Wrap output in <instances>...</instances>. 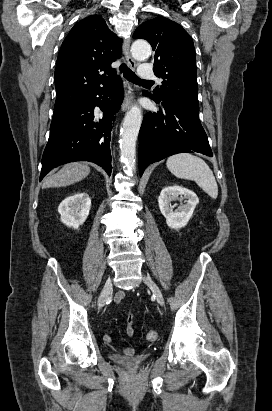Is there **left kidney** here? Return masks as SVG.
<instances>
[{
	"label": "left kidney",
	"instance_id": "1",
	"mask_svg": "<svg viewBox=\"0 0 272 411\" xmlns=\"http://www.w3.org/2000/svg\"><path fill=\"white\" fill-rule=\"evenodd\" d=\"M179 196L186 199V204L173 210L171 201L178 199ZM198 203L199 199L193 191L177 185L165 187L158 197L160 212L166 218L167 225L172 229L186 226Z\"/></svg>",
	"mask_w": 272,
	"mask_h": 411
}]
</instances>
